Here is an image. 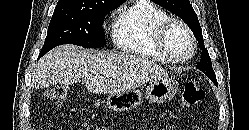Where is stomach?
Returning <instances> with one entry per match:
<instances>
[{
	"mask_svg": "<svg viewBox=\"0 0 249 130\" xmlns=\"http://www.w3.org/2000/svg\"><path fill=\"white\" fill-rule=\"evenodd\" d=\"M177 90V82L168 77H162L150 82L145 95L138 89H132L122 93L109 94L105 103L110 110L127 112L140 106L144 99H147L149 103L170 101Z\"/></svg>",
	"mask_w": 249,
	"mask_h": 130,
	"instance_id": "stomach-1",
	"label": "stomach"
}]
</instances>
